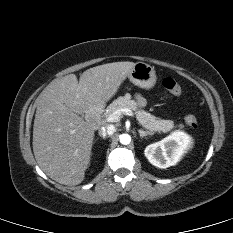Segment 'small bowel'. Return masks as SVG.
Listing matches in <instances>:
<instances>
[{"label": "small bowel", "mask_w": 233, "mask_h": 233, "mask_svg": "<svg viewBox=\"0 0 233 233\" xmlns=\"http://www.w3.org/2000/svg\"><path fill=\"white\" fill-rule=\"evenodd\" d=\"M136 100L138 101V103L140 105H143L144 104V99L138 94L136 95Z\"/></svg>", "instance_id": "small-bowel-1"}]
</instances>
